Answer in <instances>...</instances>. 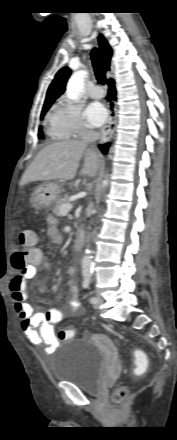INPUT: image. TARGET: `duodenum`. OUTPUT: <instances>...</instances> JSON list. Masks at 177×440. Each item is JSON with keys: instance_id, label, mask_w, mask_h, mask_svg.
<instances>
[{"instance_id": "1", "label": "duodenum", "mask_w": 177, "mask_h": 440, "mask_svg": "<svg viewBox=\"0 0 177 440\" xmlns=\"http://www.w3.org/2000/svg\"><path fill=\"white\" fill-rule=\"evenodd\" d=\"M84 244V232L79 229L76 232L73 247L75 251H81Z\"/></svg>"}]
</instances>
